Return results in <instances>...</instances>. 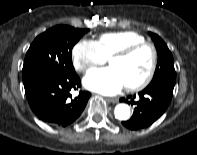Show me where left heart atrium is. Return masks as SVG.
I'll use <instances>...</instances> for the list:
<instances>
[{
	"mask_svg": "<svg viewBox=\"0 0 197 155\" xmlns=\"http://www.w3.org/2000/svg\"><path fill=\"white\" fill-rule=\"evenodd\" d=\"M83 83L86 88L105 95L116 94L126 86L120 73L112 66L91 70Z\"/></svg>",
	"mask_w": 197,
	"mask_h": 155,
	"instance_id": "obj_1",
	"label": "left heart atrium"
}]
</instances>
